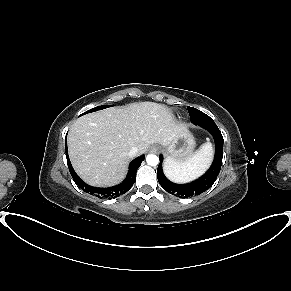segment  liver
<instances>
[{
  "label": "liver",
  "instance_id": "6515ba94",
  "mask_svg": "<svg viewBox=\"0 0 291 291\" xmlns=\"http://www.w3.org/2000/svg\"><path fill=\"white\" fill-rule=\"evenodd\" d=\"M185 131L163 104L139 102L113 107L75 121L68 134L69 157L88 184L110 186L124 177L132 147L141 155L154 143L167 147Z\"/></svg>",
  "mask_w": 291,
  "mask_h": 291
}]
</instances>
